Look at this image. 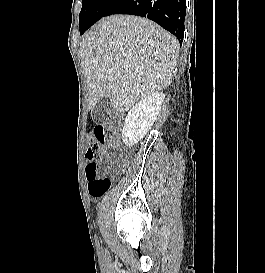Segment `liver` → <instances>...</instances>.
Wrapping results in <instances>:
<instances>
[{
	"mask_svg": "<svg viewBox=\"0 0 265 273\" xmlns=\"http://www.w3.org/2000/svg\"><path fill=\"white\" fill-rule=\"evenodd\" d=\"M79 54L88 109L106 97L116 112L124 113L170 85L178 41L149 19L112 15L101 19L85 35Z\"/></svg>",
	"mask_w": 265,
	"mask_h": 273,
	"instance_id": "1",
	"label": "liver"
}]
</instances>
